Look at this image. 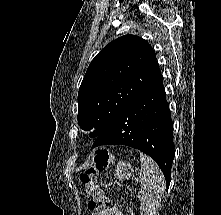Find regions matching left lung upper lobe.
<instances>
[{"label":"left lung upper lobe","instance_id":"1","mask_svg":"<svg viewBox=\"0 0 221 215\" xmlns=\"http://www.w3.org/2000/svg\"><path fill=\"white\" fill-rule=\"evenodd\" d=\"M162 77L150 44L125 35L106 45L90 63L78 92V123L100 136Z\"/></svg>","mask_w":221,"mask_h":215}]
</instances>
